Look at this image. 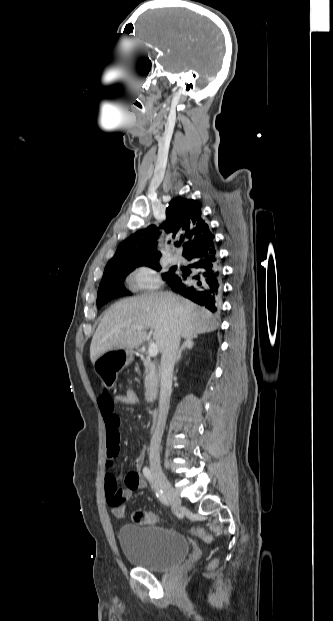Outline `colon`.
I'll return each instance as SVG.
<instances>
[{
	"label": "colon",
	"instance_id": "5ec220e1",
	"mask_svg": "<svg viewBox=\"0 0 333 621\" xmlns=\"http://www.w3.org/2000/svg\"><path fill=\"white\" fill-rule=\"evenodd\" d=\"M122 396V402L123 404L127 405V406H136L139 404L140 401V396L138 391L134 388V387H128L125 392L123 394H121ZM112 512L115 516L117 517H122L124 515V508L121 506H117L115 508L112 509ZM131 519L134 523L136 524H153L158 522V516L152 512H148L145 510H136L132 513L131 515ZM193 534L201 537L202 539H204L207 542H210L212 540V535L206 531L204 528L201 527H195L192 530ZM216 562L213 561L210 563L209 568H213L215 567Z\"/></svg>",
	"mask_w": 333,
	"mask_h": 621
}]
</instances>
